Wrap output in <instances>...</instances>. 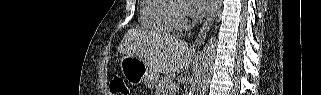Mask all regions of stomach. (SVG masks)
I'll return each mask as SVG.
<instances>
[{"label":"stomach","instance_id":"0dacf381","mask_svg":"<svg viewBox=\"0 0 321 95\" xmlns=\"http://www.w3.org/2000/svg\"><path fill=\"white\" fill-rule=\"evenodd\" d=\"M120 68L125 80L131 84L143 83L153 87L158 81V72L135 56L124 55L120 61Z\"/></svg>","mask_w":321,"mask_h":95}]
</instances>
